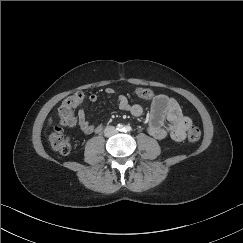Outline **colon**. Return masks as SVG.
<instances>
[{
	"label": "colon",
	"instance_id": "5ec220e1",
	"mask_svg": "<svg viewBox=\"0 0 243 243\" xmlns=\"http://www.w3.org/2000/svg\"><path fill=\"white\" fill-rule=\"evenodd\" d=\"M84 99L83 92H76L75 94L65 98L58 107V115L61 123L68 127L76 125V118L74 115V108L79 105ZM201 137V131L198 127L192 126L188 130V139L196 142ZM48 139L51 147L60 154H68L71 151L70 140L62 132L60 126H54L49 132Z\"/></svg>",
	"mask_w": 243,
	"mask_h": 243
}]
</instances>
